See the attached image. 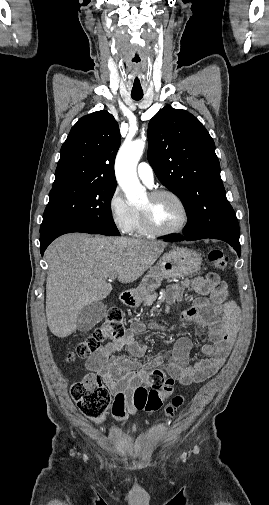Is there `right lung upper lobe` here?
Returning <instances> with one entry per match:
<instances>
[{
  "instance_id": "obj_1",
  "label": "right lung upper lobe",
  "mask_w": 269,
  "mask_h": 505,
  "mask_svg": "<svg viewBox=\"0 0 269 505\" xmlns=\"http://www.w3.org/2000/svg\"><path fill=\"white\" fill-rule=\"evenodd\" d=\"M119 127L105 110L83 116L61 147L53 187L72 183L115 184L114 161Z\"/></svg>"
}]
</instances>
